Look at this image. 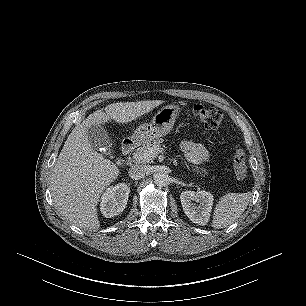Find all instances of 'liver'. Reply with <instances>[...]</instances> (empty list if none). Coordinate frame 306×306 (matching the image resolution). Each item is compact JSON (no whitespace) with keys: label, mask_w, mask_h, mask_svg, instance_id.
Listing matches in <instances>:
<instances>
[{"label":"liver","mask_w":306,"mask_h":306,"mask_svg":"<svg viewBox=\"0 0 306 306\" xmlns=\"http://www.w3.org/2000/svg\"><path fill=\"white\" fill-rule=\"evenodd\" d=\"M162 103L161 100L113 103L105 107V112H93L72 130L51 174L52 198L62 216L80 228L97 231L100 195L119 176L117 166L92 148L87 129L111 120L127 124Z\"/></svg>","instance_id":"obj_1"}]
</instances>
